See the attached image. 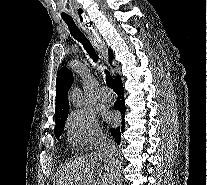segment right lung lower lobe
Returning <instances> with one entry per match:
<instances>
[{"mask_svg": "<svg viewBox=\"0 0 207 185\" xmlns=\"http://www.w3.org/2000/svg\"><path fill=\"white\" fill-rule=\"evenodd\" d=\"M116 86H117V93H119V97L117 98V101L115 102V109L119 110L122 114V126L121 127H116V128H110V132L112 136L114 137L115 141L117 144L120 143V137H121V132H124V116H125V104H124V88L122 85V82L119 79L116 80Z\"/></svg>", "mask_w": 207, "mask_h": 185, "instance_id": "98d812e1", "label": "right lung lower lobe"}]
</instances>
